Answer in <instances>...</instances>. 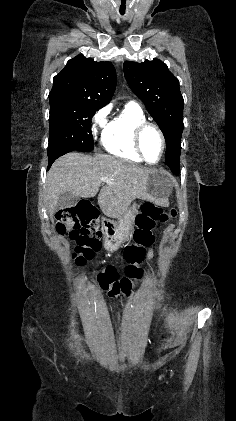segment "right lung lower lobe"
Here are the masks:
<instances>
[{"instance_id":"obj_1","label":"right lung lower lobe","mask_w":236,"mask_h":421,"mask_svg":"<svg viewBox=\"0 0 236 421\" xmlns=\"http://www.w3.org/2000/svg\"><path fill=\"white\" fill-rule=\"evenodd\" d=\"M56 159H49V166L48 169L50 168V166L52 165V163L55 161Z\"/></svg>"}]
</instances>
